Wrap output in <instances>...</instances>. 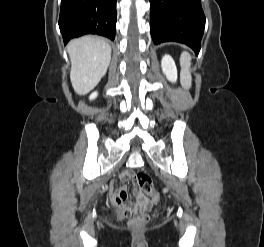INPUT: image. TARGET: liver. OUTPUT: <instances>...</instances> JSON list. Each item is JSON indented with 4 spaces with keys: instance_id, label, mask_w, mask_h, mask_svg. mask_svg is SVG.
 Listing matches in <instances>:
<instances>
[{
    "instance_id": "liver-1",
    "label": "liver",
    "mask_w": 264,
    "mask_h": 247,
    "mask_svg": "<svg viewBox=\"0 0 264 247\" xmlns=\"http://www.w3.org/2000/svg\"><path fill=\"white\" fill-rule=\"evenodd\" d=\"M67 51L71 60L72 86L77 94L85 95L106 74L111 60V48L100 37L84 36L72 40Z\"/></svg>"
}]
</instances>
